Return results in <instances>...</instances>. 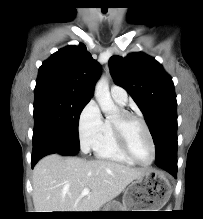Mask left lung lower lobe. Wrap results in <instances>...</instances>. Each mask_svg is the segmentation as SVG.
Returning a JSON list of instances; mask_svg holds the SVG:
<instances>
[{
  "label": "left lung lower lobe",
  "mask_w": 203,
  "mask_h": 219,
  "mask_svg": "<svg viewBox=\"0 0 203 219\" xmlns=\"http://www.w3.org/2000/svg\"><path fill=\"white\" fill-rule=\"evenodd\" d=\"M156 165L168 171L176 178L177 176V149L167 151L161 158L156 160Z\"/></svg>",
  "instance_id": "0a47b994"
}]
</instances>
